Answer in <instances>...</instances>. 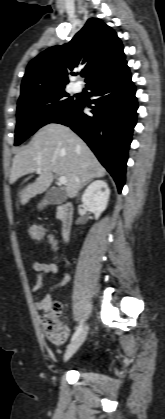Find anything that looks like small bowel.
I'll return each mask as SVG.
<instances>
[{"instance_id":"small-bowel-1","label":"small bowel","mask_w":165,"mask_h":419,"mask_svg":"<svg viewBox=\"0 0 165 419\" xmlns=\"http://www.w3.org/2000/svg\"><path fill=\"white\" fill-rule=\"evenodd\" d=\"M32 267L35 272V282L32 287V292H37L42 288L44 277L46 275L56 274L59 271V266L55 262L42 263L39 261H35ZM69 281H70L69 273L63 270L61 279L49 287L48 293L44 297L35 301L36 309L42 312L47 311L49 304L51 302L50 293L55 289L64 287Z\"/></svg>"}]
</instances>
